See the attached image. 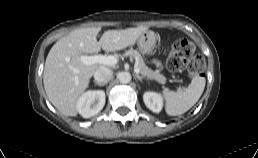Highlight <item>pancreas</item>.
Wrapping results in <instances>:
<instances>
[{
    "label": "pancreas",
    "mask_w": 258,
    "mask_h": 158,
    "mask_svg": "<svg viewBox=\"0 0 258 158\" xmlns=\"http://www.w3.org/2000/svg\"><path fill=\"white\" fill-rule=\"evenodd\" d=\"M125 56H131L136 60V66L139 68L140 73L143 76H146L148 79H154L161 84L166 82V78L162 74L158 71H153L146 66L141 54L137 50L129 49L125 52Z\"/></svg>",
    "instance_id": "cf45deb5"
}]
</instances>
